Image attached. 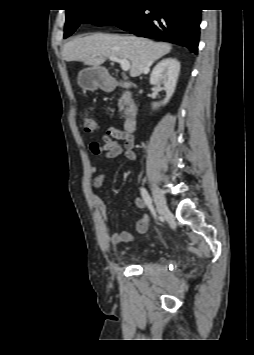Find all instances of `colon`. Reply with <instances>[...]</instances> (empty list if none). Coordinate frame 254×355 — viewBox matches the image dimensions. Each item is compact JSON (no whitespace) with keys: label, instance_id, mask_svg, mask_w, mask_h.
<instances>
[{"label":"colon","instance_id":"obj_1","mask_svg":"<svg viewBox=\"0 0 254 355\" xmlns=\"http://www.w3.org/2000/svg\"><path fill=\"white\" fill-rule=\"evenodd\" d=\"M83 129L86 133H93L97 130V124L95 120L91 117H85L83 119Z\"/></svg>","mask_w":254,"mask_h":355}]
</instances>
